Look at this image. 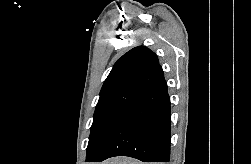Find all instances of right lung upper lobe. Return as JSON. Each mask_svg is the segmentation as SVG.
Here are the masks:
<instances>
[{
    "label": "right lung upper lobe",
    "instance_id": "1",
    "mask_svg": "<svg viewBox=\"0 0 251 164\" xmlns=\"http://www.w3.org/2000/svg\"><path fill=\"white\" fill-rule=\"evenodd\" d=\"M164 79V73L154 52L138 46L124 54L114 64L100 95L121 88L143 90Z\"/></svg>",
    "mask_w": 251,
    "mask_h": 164
}]
</instances>
